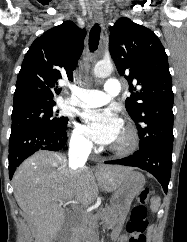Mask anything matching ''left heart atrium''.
<instances>
[{"instance_id":"obj_1","label":"left heart atrium","mask_w":187,"mask_h":242,"mask_svg":"<svg viewBox=\"0 0 187 242\" xmlns=\"http://www.w3.org/2000/svg\"><path fill=\"white\" fill-rule=\"evenodd\" d=\"M85 134L98 144H112L122 127V122L111 109L87 110L81 114Z\"/></svg>"}]
</instances>
